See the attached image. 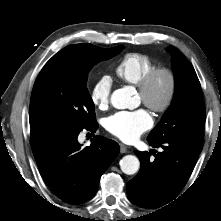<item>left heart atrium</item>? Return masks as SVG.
Instances as JSON below:
<instances>
[{
	"label": "left heart atrium",
	"instance_id": "39dd6f15",
	"mask_svg": "<svg viewBox=\"0 0 221 221\" xmlns=\"http://www.w3.org/2000/svg\"><path fill=\"white\" fill-rule=\"evenodd\" d=\"M152 124V117L144 109L116 112L105 121L106 129L125 142L135 141Z\"/></svg>",
	"mask_w": 221,
	"mask_h": 221
}]
</instances>
